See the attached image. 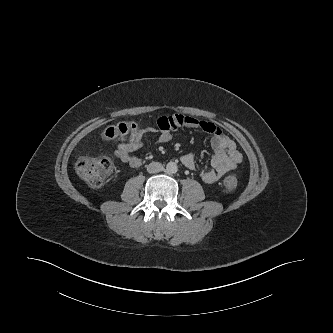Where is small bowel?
<instances>
[{
  "label": "small bowel",
  "instance_id": "1",
  "mask_svg": "<svg viewBox=\"0 0 333 333\" xmlns=\"http://www.w3.org/2000/svg\"><path fill=\"white\" fill-rule=\"evenodd\" d=\"M180 126L200 129L211 135L210 143L213 154L210 168H205L200 172V177L206 184L216 183L223 175L235 170L241 163L242 154L238 150L236 143L224 135L217 125L184 115L160 117L157 120V128L142 129L129 136L116 146L114 154L117 159L129 166L133 168L140 167L142 159L132 155V153L144 146L145 135L148 133L156 134L157 142L164 144L172 139V132ZM181 162L188 169L195 167V160L192 154H184L181 157Z\"/></svg>",
  "mask_w": 333,
  "mask_h": 333
}]
</instances>
